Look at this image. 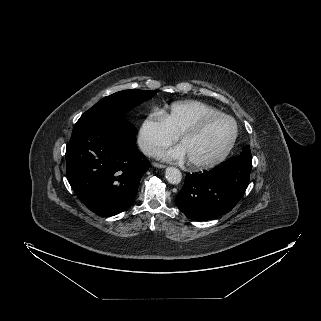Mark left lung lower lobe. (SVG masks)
Masks as SVG:
<instances>
[{
    "instance_id": "obj_1",
    "label": "left lung lower lobe",
    "mask_w": 321,
    "mask_h": 321,
    "mask_svg": "<svg viewBox=\"0 0 321 321\" xmlns=\"http://www.w3.org/2000/svg\"><path fill=\"white\" fill-rule=\"evenodd\" d=\"M252 157L238 155L204 173L188 174L177 207L190 219L207 221L231 211L245 193Z\"/></svg>"
}]
</instances>
